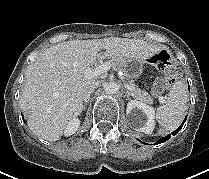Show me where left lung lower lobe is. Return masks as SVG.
Here are the masks:
<instances>
[{"label":"left lung lower lobe","instance_id":"0a47b994","mask_svg":"<svg viewBox=\"0 0 209 179\" xmlns=\"http://www.w3.org/2000/svg\"><path fill=\"white\" fill-rule=\"evenodd\" d=\"M186 118H187V117H186ZM186 118H185L184 122L180 125V127L177 128L175 131H173V132L171 133L173 136L176 135V134L180 131V129L183 127V125H184V123H185V121H186ZM170 137H171V135L169 134V135H167V136L161 138L160 140H158V142H156V144L163 143V142L167 141L168 139H170Z\"/></svg>","mask_w":209,"mask_h":179}]
</instances>
